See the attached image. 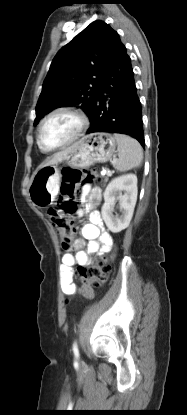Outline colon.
<instances>
[{"instance_id": "obj_1", "label": "colon", "mask_w": 187, "mask_h": 415, "mask_svg": "<svg viewBox=\"0 0 187 415\" xmlns=\"http://www.w3.org/2000/svg\"><path fill=\"white\" fill-rule=\"evenodd\" d=\"M96 181L93 170L79 171L68 169L64 173L60 187V203L57 209H50L49 217L57 230L63 248H67L75 234L73 215L77 210L75 202L79 187ZM110 267L103 261H97L86 267H79L77 277L84 285V295L92 297V288L101 287L107 280Z\"/></svg>"}]
</instances>
